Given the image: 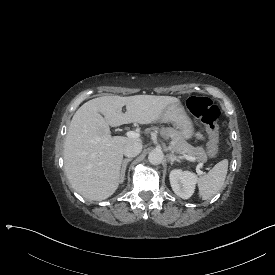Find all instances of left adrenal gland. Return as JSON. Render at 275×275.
I'll use <instances>...</instances> for the list:
<instances>
[{
  "mask_svg": "<svg viewBox=\"0 0 275 275\" xmlns=\"http://www.w3.org/2000/svg\"><path fill=\"white\" fill-rule=\"evenodd\" d=\"M167 157H168V161H169L171 164H173L174 161L181 162V160H180L176 155H174L173 153H169V154L167 155Z\"/></svg>",
  "mask_w": 275,
  "mask_h": 275,
  "instance_id": "left-adrenal-gland-1",
  "label": "left adrenal gland"
}]
</instances>
